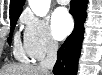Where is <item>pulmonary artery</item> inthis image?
Wrapping results in <instances>:
<instances>
[{
	"label": "pulmonary artery",
	"mask_w": 102,
	"mask_h": 75,
	"mask_svg": "<svg viewBox=\"0 0 102 75\" xmlns=\"http://www.w3.org/2000/svg\"><path fill=\"white\" fill-rule=\"evenodd\" d=\"M59 3H65V0H58Z\"/></svg>",
	"instance_id": "1"
}]
</instances>
